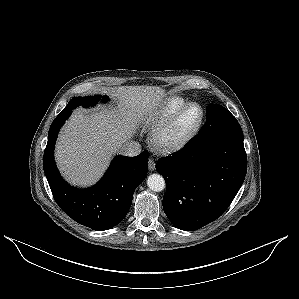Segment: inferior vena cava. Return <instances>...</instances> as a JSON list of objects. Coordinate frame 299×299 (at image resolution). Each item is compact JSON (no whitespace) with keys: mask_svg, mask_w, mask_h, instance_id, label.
I'll return each mask as SVG.
<instances>
[{"mask_svg":"<svg viewBox=\"0 0 299 299\" xmlns=\"http://www.w3.org/2000/svg\"><path fill=\"white\" fill-rule=\"evenodd\" d=\"M121 152L125 156H137L141 153V145L136 141H128L122 146Z\"/></svg>","mask_w":299,"mask_h":299,"instance_id":"inferior-vena-cava-1","label":"inferior vena cava"}]
</instances>
